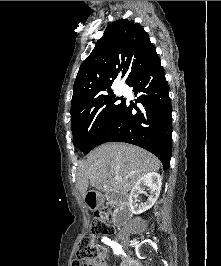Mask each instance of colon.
<instances>
[{"mask_svg":"<svg viewBox=\"0 0 221 266\" xmlns=\"http://www.w3.org/2000/svg\"><path fill=\"white\" fill-rule=\"evenodd\" d=\"M111 209L105 206L95 212V219L91 223V234L81 238L78 249V259L89 262L93 261L98 256V248L94 241L95 236H108L113 233V228L107 223Z\"/></svg>","mask_w":221,"mask_h":266,"instance_id":"1","label":"colon"}]
</instances>
